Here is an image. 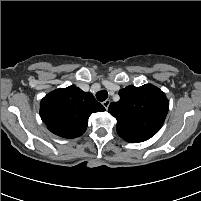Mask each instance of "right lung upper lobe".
I'll list each match as a JSON object with an SVG mask.
<instances>
[{"instance_id": "right-lung-upper-lobe-1", "label": "right lung upper lobe", "mask_w": 201, "mask_h": 201, "mask_svg": "<svg viewBox=\"0 0 201 201\" xmlns=\"http://www.w3.org/2000/svg\"><path fill=\"white\" fill-rule=\"evenodd\" d=\"M105 111L94 96L76 86L48 93L40 103V116L47 128L64 138L81 136L91 113Z\"/></svg>"}]
</instances>
